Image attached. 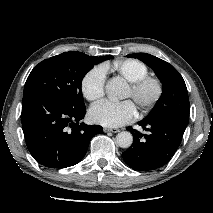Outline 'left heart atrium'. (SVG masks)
<instances>
[{"mask_svg": "<svg viewBox=\"0 0 213 213\" xmlns=\"http://www.w3.org/2000/svg\"><path fill=\"white\" fill-rule=\"evenodd\" d=\"M136 116V108L132 101L121 103L103 101L94 105L89 111V118L93 123L105 127H119L130 123Z\"/></svg>", "mask_w": 213, "mask_h": 213, "instance_id": "39dd6f15", "label": "left heart atrium"}]
</instances>
